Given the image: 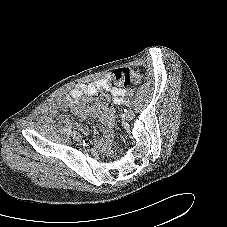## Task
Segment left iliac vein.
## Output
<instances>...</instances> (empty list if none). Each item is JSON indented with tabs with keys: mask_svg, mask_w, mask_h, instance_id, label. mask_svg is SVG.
<instances>
[{
	"mask_svg": "<svg viewBox=\"0 0 227 227\" xmlns=\"http://www.w3.org/2000/svg\"><path fill=\"white\" fill-rule=\"evenodd\" d=\"M134 111L132 109H128L124 115V119L127 120V121H130L134 118Z\"/></svg>",
	"mask_w": 227,
	"mask_h": 227,
	"instance_id": "obj_1",
	"label": "left iliac vein"
}]
</instances>
